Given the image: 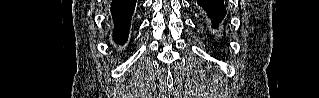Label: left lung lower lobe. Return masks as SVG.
<instances>
[{"label": "left lung lower lobe", "mask_w": 319, "mask_h": 98, "mask_svg": "<svg viewBox=\"0 0 319 98\" xmlns=\"http://www.w3.org/2000/svg\"><path fill=\"white\" fill-rule=\"evenodd\" d=\"M197 4L207 25L218 29L226 15L224 0H197Z\"/></svg>", "instance_id": "obj_1"}]
</instances>
